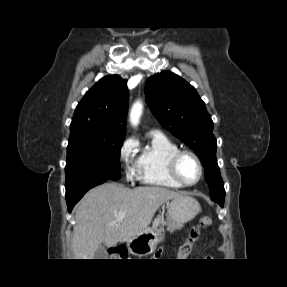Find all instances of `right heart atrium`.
Returning <instances> with one entry per match:
<instances>
[{
	"instance_id": "right-heart-atrium-1",
	"label": "right heart atrium",
	"mask_w": 287,
	"mask_h": 287,
	"mask_svg": "<svg viewBox=\"0 0 287 287\" xmlns=\"http://www.w3.org/2000/svg\"><path fill=\"white\" fill-rule=\"evenodd\" d=\"M135 149V142L128 138L125 139L119 147V158L125 167L126 176L129 180L136 176L135 170L128 165V161Z\"/></svg>"
}]
</instances>
